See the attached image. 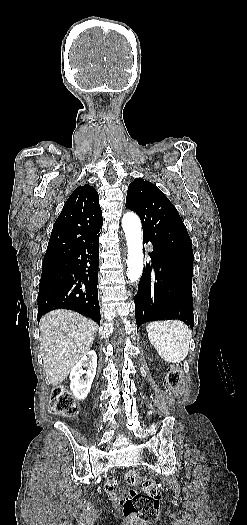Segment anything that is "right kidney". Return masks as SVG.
<instances>
[{
    "label": "right kidney",
    "instance_id": "obj_1",
    "mask_svg": "<svg viewBox=\"0 0 247 525\" xmlns=\"http://www.w3.org/2000/svg\"><path fill=\"white\" fill-rule=\"evenodd\" d=\"M97 355L95 351L86 353L70 373V389L79 401H84L90 393L93 379L96 375Z\"/></svg>",
    "mask_w": 247,
    "mask_h": 525
}]
</instances>
